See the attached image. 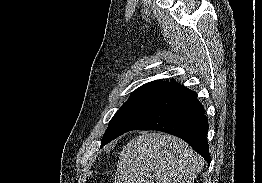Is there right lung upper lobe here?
<instances>
[{"label": "right lung upper lobe", "instance_id": "right-lung-upper-lobe-1", "mask_svg": "<svg viewBox=\"0 0 262 183\" xmlns=\"http://www.w3.org/2000/svg\"><path fill=\"white\" fill-rule=\"evenodd\" d=\"M169 83L171 82L160 81V80L152 81L142 85L141 87L136 89L135 92H147V91L158 92L160 89H162L164 86L168 85Z\"/></svg>", "mask_w": 262, "mask_h": 183}]
</instances>
